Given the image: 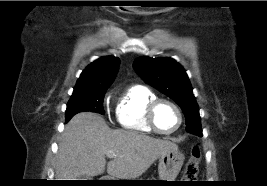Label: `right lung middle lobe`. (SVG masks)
<instances>
[{
	"instance_id": "obj_1",
	"label": "right lung middle lobe",
	"mask_w": 267,
	"mask_h": 186,
	"mask_svg": "<svg viewBox=\"0 0 267 186\" xmlns=\"http://www.w3.org/2000/svg\"><path fill=\"white\" fill-rule=\"evenodd\" d=\"M107 88L73 92L66 109V122L83 111L104 114L103 98Z\"/></svg>"
}]
</instances>
